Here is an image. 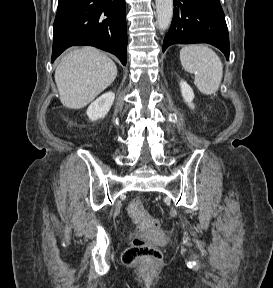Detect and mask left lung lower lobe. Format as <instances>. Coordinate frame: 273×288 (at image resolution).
<instances>
[{"instance_id":"1","label":"left lung lower lobe","mask_w":273,"mask_h":288,"mask_svg":"<svg viewBox=\"0 0 273 288\" xmlns=\"http://www.w3.org/2000/svg\"><path fill=\"white\" fill-rule=\"evenodd\" d=\"M174 14L163 42V52L172 44L209 43L229 59L230 46L225 15L219 0H173Z\"/></svg>"}]
</instances>
